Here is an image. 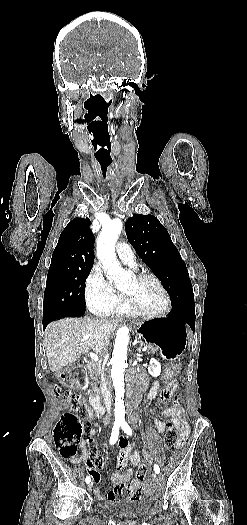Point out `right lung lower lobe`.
Listing matches in <instances>:
<instances>
[{
    "instance_id": "obj_1",
    "label": "right lung lower lobe",
    "mask_w": 247,
    "mask_h": 525,
    "mask_svg": "<svg viewBox=\"0 0 247 525\" xmlns=\"http://www.w3.org/2000/svg\"><path fill=\"white\" fill-rule=\"evenodd\" d=\"M82 314H84V312H83V313H75L74 316H81ZM47 325H48V324H47L46 322H43V327H44V329H45V327H46Z\"/></svg>"
}]
</instances>
